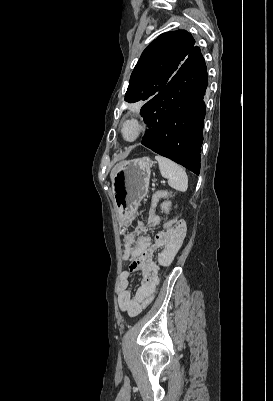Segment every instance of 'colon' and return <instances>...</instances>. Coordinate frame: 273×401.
Here are the masks:
<instances>
[{"label": "colon", "instance_id": "colon-1", "mask_svg": "<svg viewBox=\"0 0 273 401\" xmlns=\"http://www.w3.org/2000/svg\"><path fill=\"white\" fill-rule=\"evenodd\" d=\"M169 229H174L178 226H180L182 229H184V223L183 222H179V221H170L167 224ZM159 238L161 241H168L170 238V235L168 232H161L159 235ZM171 240L172 241H183L184 240V233L183 232H172L171 233ZM153 279V276L151 273H144L142 275V280L144 282H151Z\"/></svg>", "mask_w": 273, "mask_h": 401}]
</instances>
